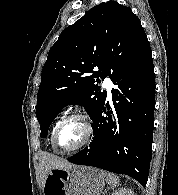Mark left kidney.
<instances>
[{
	"mask_svg": "<svg viewBox=\"0 0 178 195\" xmlns=\"http://www.w3.org/2000/svg\"><path fill=\"white\" fill-rule=\"evenodd\" d=\"M112 195H134V193L129 188H119L118 190H115Z\"/></svg>",
	"mask_w": 178,
	"mask_h": 195,
	"instance_id": "obj_1",
	"label": "left kidney"
}]
</instances>
